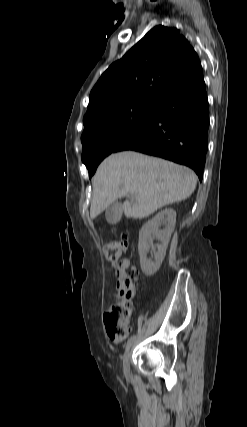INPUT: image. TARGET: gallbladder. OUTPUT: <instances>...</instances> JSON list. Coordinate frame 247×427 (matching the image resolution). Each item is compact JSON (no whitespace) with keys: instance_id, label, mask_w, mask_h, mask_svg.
<instances>
[{"instance_id":"gallbladder-1","label":"gallbladder","mask_w":247,"mask_h":427,"mask_svg":"<svg viewBox=\"0 0 247 427\" xmlns=\"http://www.w3.org/2000/svg\"><path fill=\"white\" fill-rule=\"evenodd\" d=\"M123 214V207L120 202L111 203L105 211V218L107 222L111 224H116L120 221Z\"/></svg>"}]
</instances>
